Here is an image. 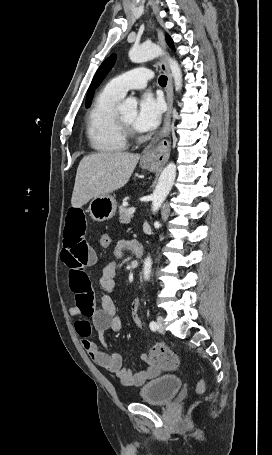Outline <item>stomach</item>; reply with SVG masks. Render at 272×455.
<instances>
[{
  "label": "stomach",
  "mask_w": 272,
  "mask_h": 455,
  "mask_svg": "<svg viewBox=\"0 0 272 455\" xmlns=\"http://www.w3.org/2000/svg\"><path fill=\"white\" fill-rule=\"evenodd\" d=\"M140 166L143 169L154 171L156 163L153 160L141 159ZM117 203L113 196L107 194L98 196L91 200L88 211L91 218L97 222H103L111 219L116 213Z\"/></svg>",
  "instance_id": "obj_1"
}]
</instances>
